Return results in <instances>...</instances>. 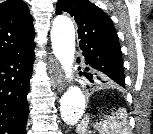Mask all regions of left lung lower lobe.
I'll return each instance as SVG.
<instances>
[{"label":"left lung lower lobe","instance_id":"0a47b994","mask_svg":"<svg viewBox=\"0 0 153 134\" xmlns=\"http://www.w3.org/2000/svg\"><path fill=\"white\" fill-rule=\"evenodd\" d=\"M86 71L89 73H84V75L89 79L87 88H94L101 83H105V76L94 68L88 66Z\"/></svg>","mask_w":153,"mask_h":134}]
</instances>
